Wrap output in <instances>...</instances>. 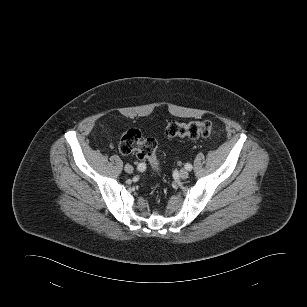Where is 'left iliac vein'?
<instances>
[{
  "instance_id": "1",
  "label": "left iliac vein",
  "mask_w": 307,
  "mask_h": 307,
  "mask_svg": "<svg viewBox=\"0 0 307 307\" xmlns=\"http://www.w3.org/2000/svg\"><path fill=\"white\" fill-rule=\"evenodd\" d=\"M188 176H189V172L187 171V169L182 168V169L180 170V172H179V177H180L181 179H187Z\"/></svg>"
}]
</instances>
